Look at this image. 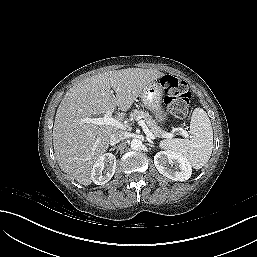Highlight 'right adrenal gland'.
Wrapping results in <instances>:
<instances>
[{"label":"right adrenal gland","mask_w":257,"mask_h":257,"mask_svg":"<svg viewBox=\"0 0 257 257\" xmlns=\"http://www.w3.org/2000/svg\"><path fill=\"white\" fill-rule=\"evenodd\" d=\"M115 149V146L114 147H112V148H110V150L109 151H112V150H114Z\"/></svg>","instance_id":"right-adrenal-gland-1"}]
</instances>
